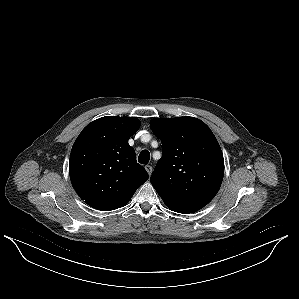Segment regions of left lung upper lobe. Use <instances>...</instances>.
Wrapping results in <instances>:
<instances>
[{
    "label": "left lung upper lobe",
    "mask_w": 299,
    "mask_h": 299,
    "mask_svg": "<svg viewBox=\"0 0 299 299\" xmlns=\"http://www.w3.org/2000/svg\"><path fill=\"white\" fill-rule=\"evenodd\" d=\"M150 128L162 141V158L150 181L164 203L192 213L217 194L224 175L220 145L210 128L194 117L154 118Z\"/></svg>",
    "instance_id": "obj_1"
}]
</instances>
